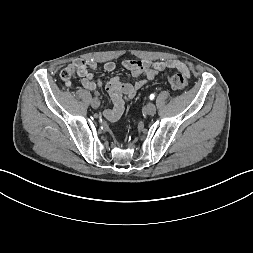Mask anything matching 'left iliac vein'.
Returning a JSON list of instances; mask_svg holds the SVG:
<instances>
[{
    "mask_svg": "<svg viewBox=\"0 0 253 253\" xmlns=\"http://www.w3.org/2000/svg\"><path fill=\"white\" fill-rule=\"evenodd\" d=\"M145 111L148 115H154L156 113V106L153 103H148L145 107Z\"/></svg>",
    "mask_w": 253,
    "mask_h": 253,
    "instance_id": "4c4485c4",
    "label": "left iliac vein"
}]
</instances>
